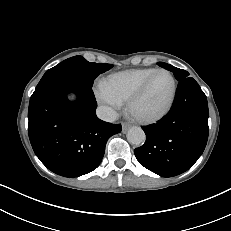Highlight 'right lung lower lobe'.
Instances as JSON below:
<instances>
[{"label": "right lung lower lobe", "mask_w": 231, "mask_h": 231, "mask_svg": "<svg viewBox=\"0 0 231 231\" xmlns=\"http://www.w3.org/2000/svg\"><path fill=\"white\" fill-rule=\"evenodd\" d=\"M70 92L77 94V101L67 99ZM96 107L92 88L71 80L57 81L31 96L29 139L49 170L78 177L98 167L108 138L122 128L98 119Z\"/></svg>", "instance_id": "obj_1"}]
</instances>
